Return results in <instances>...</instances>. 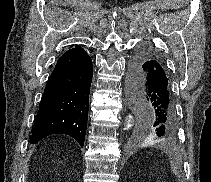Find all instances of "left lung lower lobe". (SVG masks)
Masks as SVG:
<instances>
[{
	"mask_svg": "<svg viewBox=\"0 0 211 182\" xmlns=\"http://www.w3.org/2000/svg\"><path fill=\"white\" fill-rule=\"evenodd\" d=\"M128 96L141 117L148 108L153 135L171 138L177 118L168 74L160 55L149 46H140L129 63Z\"/></svg>",
	"mask_w": 211,
	"mask_h": 182,
	"instance_id": "0a47b994",
	"label": "left lung lower lobe"
}]
</instances>
